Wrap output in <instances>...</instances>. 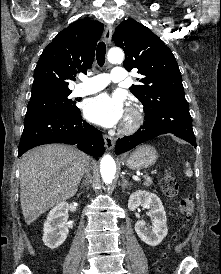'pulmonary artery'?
<instances>
[{"mask_svg": "<svg viewBox=\"0 0 221 274\" xmlns=\"http://www.w3.org/2000/svg\"><path fill=\"white\" fill-rule=\"evenodd\" d=\"M126 78L125 70L121 67H115L110 74H98L92 77H85L74 89L76 96H84L96 93L105 88L111 81L121 82Z\"/></svg>", "mask_w": 221, "mask_h": 274, "instance_id": "obj_1", "label": "pulmonary artery"}]
</instances>
